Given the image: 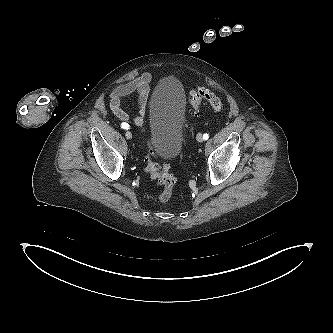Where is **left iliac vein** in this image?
<instances>
[{"label": "left iliac vein", "instance_id": "1", "mask_svg": "<svg viewBox=\"0 0 333 333\" xmlns=\"http://www.w3.org/2000/svg\"><path fill=\"white\" fill-rule=\"evenodd\" d=\"M196 139L198 142H202L203 141V136L201 133H198L197 136H196Z\"/></svg>", "mask_w": 333, "mask_h": 333}]
</instances>
